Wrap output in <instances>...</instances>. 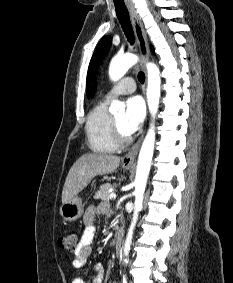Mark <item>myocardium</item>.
<instances>
[{
  "label": "myocardium",
  "instance_id": "obj_1",
  "mask_svg": "<svg viewBox=\"0 0 233 283\" xmlns=\"http://www.w3.org/2000/svg\"><path fill=\"white\" fill-rule=\"evenodd\" d=\"M111 130H112L113 140L115 144L117 145V147L126 146L127 144L131 142L132 138L130 134L125 135L121 132L114 117H112L111 119Z\"/></svg>",
  "mask_w": 233,
  "mask_h": 283
}]
</instances>
